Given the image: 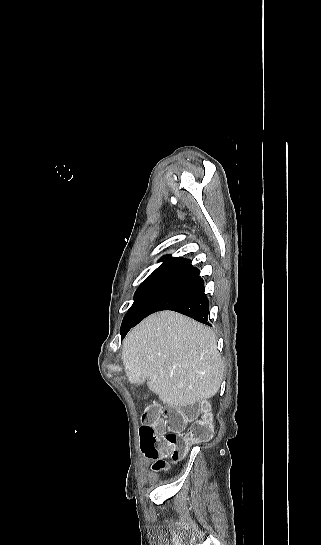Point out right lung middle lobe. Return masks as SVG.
<instances>
[{"label": "right lung middle lobe", "instance_id": "right-lung-middle-lobe-1", "mask_svg": "<svg viewBox=\"0 0 321 545\" xmlns=\"http://www.w3.org/2000/svg\"><path fill=\"white\" fill-rule=\"evenodd\" d=\"M175 270L157 268L154 270L147 279L138 287L135 296L134 303L129 308L127 314L124 317L123 322L130 321L138 316L146 304L150 301L153 295L161 287V285L172 275Z\"/></svg>", "mask_w": 321, "mask_h": 545}]
</instances>
